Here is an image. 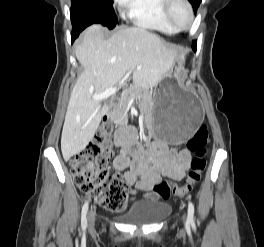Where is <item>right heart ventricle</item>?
I'll return each mask as SVG.
<instances>
[{
    "label": "right heart ventricle",
    "instance_id": "1",
    "mask_svg": "<svg viewBox=\"0 0 264 247\" xmlns=\"http://www.w3.org/2000/svg\"><path fill=\"white\" fill-rule=\"evenodd\" d=\"M165 0H132L128 16L135 25L166 34L177 30L167 20L164 12Z\"/></svg>",
    "mask_w": 264,
    "mask_h": 247
}]
</instances>
